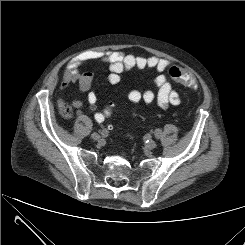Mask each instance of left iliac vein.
Segmentation results:
<instances>
[{
    "label": "left iliac vein",
    "instance_id": "1",
    "mask_svg": "<svg viewBox=\"0 0 245 245\" xmlns=\"http://www.w3.org/2000/svg\"><path fill=\"white\" fill-rule=\"evenodd\" d=\"M155 147H156V142H155L154 140L150 139V140L148 141V143H147V148L150 149V150H152V149H154Z\"/></svg>",
    "mask_w": 245,
    "mask_h": 245
}]
</instances>
